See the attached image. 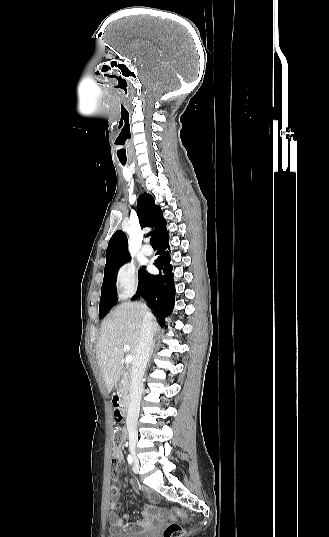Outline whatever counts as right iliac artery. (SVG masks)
I'll return each mask as SVG.
<instances>
[{"instance_id":"82829eb1","label":"right iliac artery","mask_w":329,"mask_h":537,"mask_svg":"<svg viewBox=\"0 0 329 537\" xmlns=\"http://www.w3.org/2000/svg\"><path fill=\"white\" fill-rule=\"evenodd\" d=\"M127 460L130 465L133 463V458L130 454L127 456Z\"/></svg>"}]
</instances>
